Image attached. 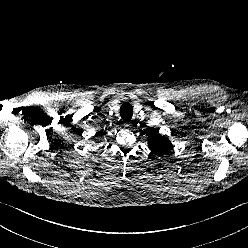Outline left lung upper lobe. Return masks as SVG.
I'll return each mask as SVG.
<instances>
[{"instance_id": "5c2ea615", "label": "left lung upper lobe", "mask_w": 248, "mask_h": 248, "mask_svg": "<svg viewBox=\"0 0 248 248\" xmlns=\"http://www.w3.org/2000/svg\"><path fill=\"white\" fill-rule=\"evenodd\" d=\"M148 147L153 154L162 155L172 148V144L167 137H161L158 129L148 130Z\"/></svg>"}]
</instances>
